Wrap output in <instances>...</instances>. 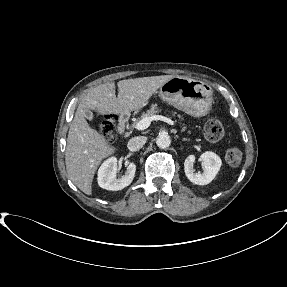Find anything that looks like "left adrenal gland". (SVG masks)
Listing matches in <instances>:
<instances>
[{
    "label": "left adrenal gland",
    "instance_id": "1",
    "mask_svg": "<svg viewBox=\"0 0 287 287\" xmlns=\"http://www.w3.org/2000/svg\"><path fill=\"white\" fill-rule=\"evenodd\" d=\"M182 141H190L189 139L183 138Z\"/></svg>",
    "mask_w": 287,
    "mask_h": 287
}]
</instances>
